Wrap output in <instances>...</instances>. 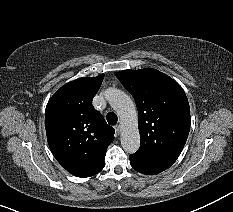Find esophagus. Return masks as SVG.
<instances>
[{
  "label": "esophagus",
  "instance_id": "esophagus-1",
  "mask_svg": "<svg viewBox=\"0 0 233 212\" xmlns=\"http://www.w3.org/2000/svg\"><path fill=\"white\" fill-rule=\"evenodd\" d=\"M114 128H115V131H116L117 133H120V131H121L120 125H116Z\"/></svg>",
  "mask_w": 233,
  "mask_h": 212
}]
</instances>
